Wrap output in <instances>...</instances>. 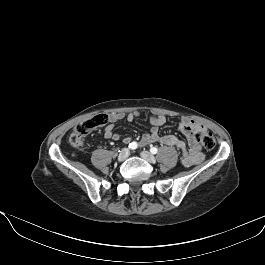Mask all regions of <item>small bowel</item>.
Returning <instances> with one entry per match:
<instances>
[{"label":"small bowel","instance_id":"c3829d8e","mask_svg":"<svg viewBox=\"0 0 265 265\" xmlns=\"http://www.w3.org/2000/svg\"><path fill=\"white\" fill-rule=\"evenodd\" d=\"M139 116L138 111H131L127 115L124 113H112L109 115V124L104 129V137L112 140L123 139L124 142H130L129 137H122L118 133H114V123L126 117L128 121H133ZM150 130L143 134L139 144L146 146L152 143H160L165 146L175 147L179 150L181 161L184 166L189 167L200 163L203 160L201 147L197 142L195 135L198 131L205 130V126L193 119L182 118L178 123V129L186 137L187 143L175 135L160 136L158 129L166 122L165 116L161 114H152L149 118Z\"/></svg>","mask_w":265,"mask_h":265}]
</instances>
